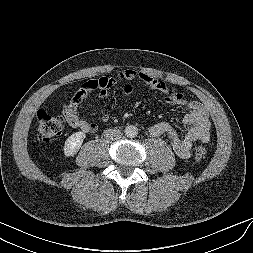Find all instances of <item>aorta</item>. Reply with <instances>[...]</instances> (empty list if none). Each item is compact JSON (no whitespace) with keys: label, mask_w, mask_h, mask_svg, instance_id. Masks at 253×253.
Returning <instances> with one entry per match:
<instances>
[{"label":"aorta","mask_w":253,"mask_h":253,"mask_svg":"<svg viewBox=\"0 0 253 253\" xmlns=\"http://www.w3.org/2000/svg\"><path fill=\"white\" fill-rule=\"evenodd\" d=\"M124 132L127 137L134 138L138 134V129L134 125H129L125 128Z\"/></svg>","instance_id":"aorta-1"}]
</instances>
